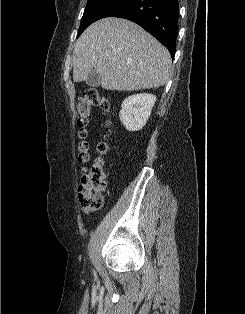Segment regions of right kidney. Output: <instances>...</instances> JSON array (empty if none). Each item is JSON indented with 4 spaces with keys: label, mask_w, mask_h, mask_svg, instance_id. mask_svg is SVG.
Wrapping results in <instances>:
<instances>
[{
    "label": "right kidney",
    "mask_w": 245,
    "mask_h": 314,
    "mask_svg": "<svg viewBox=\"0 0 245 314\" xmlns=\"http://www.w3.org/2000/svg\"><path fill=\"white\" fill-rule=\"evenodd\" d=\"M156 96L152 94H136L126 98L121 105L120 121L128 131H139L147 123Z\"/></svg>",
    "instance_id": "ca27d5eb"
}]
</instances>
